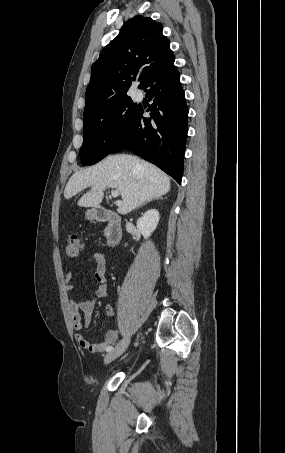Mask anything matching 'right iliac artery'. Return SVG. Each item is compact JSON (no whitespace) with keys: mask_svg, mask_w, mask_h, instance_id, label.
I'll return each instance as SVG.
<instances>
[{"mask_svg":"<svg viewBox=\"0 0 285 453\" xmlns=\"http://www.w3.org/2000/svg\"><path fill=\"white\" fill-rule=\"evenodd\" d=\"M112 349H113V347H112V346H109V347L106 349V351L109 352V351L112 350Z\"/></svg>","mask_w":285,"mask_h":453,"instance_id":"obj_1","label":"right iliac artery"}]
</instances>
